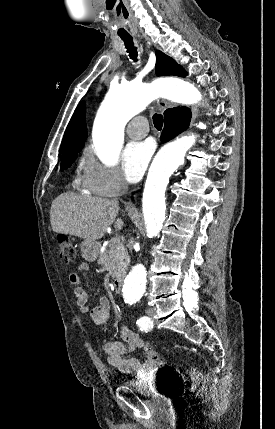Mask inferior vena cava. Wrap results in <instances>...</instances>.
Returning a JSON list of instances; mask_svg holds the SVG:
<instances>
[{
	"mask_svg": "<svg viewBox=\"0 0 275 429\" xmlns=\"http://www.w3.org/2000/svg\"><path fill=\"white\" fill-rule=\"evenodd\" d=\"M128 188V184L126 182H122V191L125 192ZM132 249V247L130 246V250Z\"/></svg>",
	"mask_w": 275,
	"mask_h": 429,
	"instance_id": "1",
	"label": "inferior vena cava"
}]
</instances>
